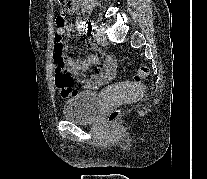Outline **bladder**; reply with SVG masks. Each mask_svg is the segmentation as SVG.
Returning <instances> with one entry per match:
<instances>
[{"label": "bladder", "mask_w": 207, "mask_h": 179, "mask_svg": "<svg viewBox=\"0 0 207 179\" xmlns=\"http://www.w3.org/2000/svg\"><path fill=\"white\" fill-rule=\"evenodd\" d=\"M99 113V96L95 92L80 91L72 95L63 106V117L75 123H91Z\"/></svg>", "instance_id": "1"}]
</instances>
